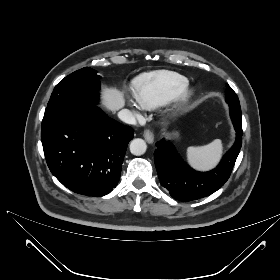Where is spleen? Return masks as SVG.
<instances>
[{
	"mask_svg": "<svg viewBox=\"0 0 280 280\" xmlns=\"http://www.w3.org/2000/svg\"><path fill=\"white\" fill-rule=\"evenodd\" d=\"M189 165L199 171H208L214 168L222 156V142L213 140L204 146H191L186 152Z\"/></svg>",
	"mask_w": 280,
	"mask_h": 280,
	"instance_id": "obj_1",
	"label": "spleen"
}]
</instances>
